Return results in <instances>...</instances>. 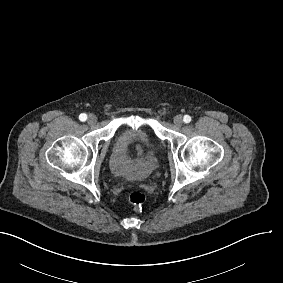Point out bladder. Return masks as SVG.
Segmentation results:
<instances>
[{"label":"bladder","instance_id":"1","mask_svg":"<svg viewBox=\"0 0 283 283\" xmlns=\"http://www.w3.org/2000/svg\"><path fill=\"white\" fill-rule=\"evenodd\" d=\"M145 144V154L141 156L139 162L126 159L129 147L134 142ZM113 165L110 172L127 181H136L137 176L144 179L150 174L158 171L160 164V154L154 136L144 126H126L120 129L112 140Z\"/></svg>","mask_w":283,"mask_h":283}]
</instances>
